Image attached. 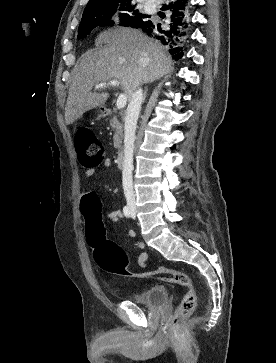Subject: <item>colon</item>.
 <instances>
[{
	"instance_id": "5ec220e1",
	"label": "colon",
	"mask_w": 276,
	"mask_h": 363,
	"mask_svg": "<svg viewBox=\"0 0 276 363\" xmlns=\"http://www.w3.org/2000/svg\"><path fill=\"white\" fill-rule=\"evenodd\" d=\"M75 148L83 166L93 167L102 162L104 150L97 136L89 128H80L75 134ZM87 241L93 247V258L103 270L117 275H128L129 259L124 250L115 242L105 239V229L99 215L93 211L87 216ZM159 274L167 276L175 284L184 288V295L177 307L173 325L188 317L196 308L197 292L190 275L182 270L159 267Z\"/></svg>"
}]
</instances>
